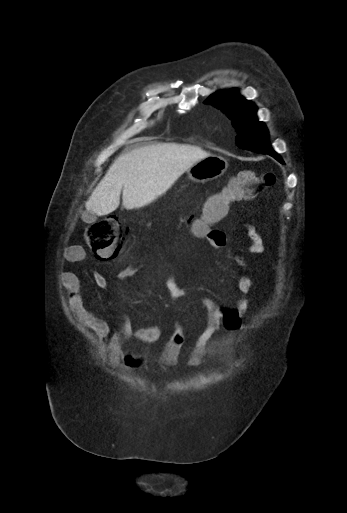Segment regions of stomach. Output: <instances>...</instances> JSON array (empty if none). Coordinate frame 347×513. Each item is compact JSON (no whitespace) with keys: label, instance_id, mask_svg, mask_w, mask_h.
Returning <instances> with one entry per match:
<instances>
[{"label":"stomach","instance_id":"obj_1","mask_svg":"<svg viewBox=\"0 0 347 513\" xmlns=\"http://www.w3.org/2000/svg\"><path fill=\"white\" fill-rule=\"evenodd\" d=\"M228 168V162L221 156L209 155L187 169V174L193 182L204 183L217 179Z\"/></svg>","mask_w":347,"mask_h":513}]
</instances>
